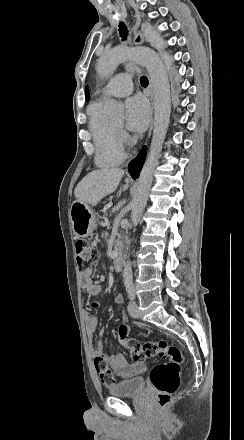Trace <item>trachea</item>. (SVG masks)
<instances>
[{
	"instance_id": "1",
	"label": "trachea",
	"mask_w": 244,
	"mask_h": 440,
	"mask_svg": "<svg viewBox=\"0 0 244 440\" xmlns=\"http://www.w3.org/2000/svg\"><path fill=\"white\" fill-rule=\"evenodd\" d=\"M119 32H120V37H122L123 40L126 39L127 35H128V30L126 28V26L124 25V23H120L119 25ZM140 83L143 87H147L148 86V79L147 77H145L144 75L140 78Z\"/></svg>"
}]
</instances>
